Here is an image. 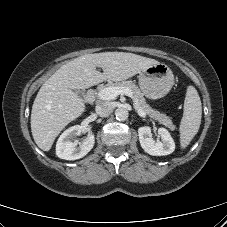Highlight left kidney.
<instances>
[{
  "label": "left kidney",
  "mask_w": 227,
  "mask_h": 227,
  "mask_svg": "<svg viewBox=\"0 0 227 227\" xmlns=\"http://www.w3.org/2000/svg\"><path fill=\"white\" fill-rule=\"evenodd\" d=\"M160 140L155 141L152 138L151 128L148 126L138 129V136L141 147L150 155L163 156L171 154L175 150V143L170 133L165 128L158 129Z\"/></svg>",
  "instance_id": "1"
}]
</instances>
